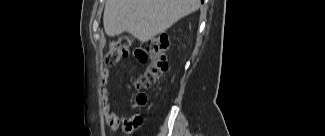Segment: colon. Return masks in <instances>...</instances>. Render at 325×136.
I'll use <instances>...</instances> for the list:
<instances>
[{
    "instance_id": "5ec220e1",
    "label": "colon",
    "mask_w": 325,
    "mask_h": 136,
    "mask_svg": "<svg viewBox=\"0 0 325 136\" xmlns=\"http://www.w3.org/2000/svg\"><path fill=\"white\" fill-rule=\"evenodd\" d=\"M133 40L130 36H122L111 42L104 57L106 66H114L121 60L128 57L132 51ZM168 39L164 35L150 38L143 44L150 61L144 75L138 81V87H147L164 77L168 70L167 59ZM139 103L145 102L144 96H139Z\"/></svg>"
}]
</instances>
